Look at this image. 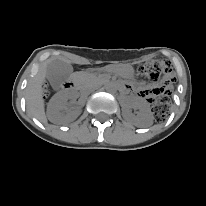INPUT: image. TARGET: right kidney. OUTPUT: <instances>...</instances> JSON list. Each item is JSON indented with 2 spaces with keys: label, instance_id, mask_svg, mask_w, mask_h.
<instances>
[{
  "label": "right kidney",
  "instance_id": "obj_1",
  "mask_svg": "<svg viewBox=\"0 0 206 206\" xmlns=\"http://www.w3.org/2000/svg\"><path fill=\"white\" fill-rule=\"evenodd\" d=\"M75 94L57 93L49 101L47 116L53 123H67L77 118L79 111L69 107L67 101L75 99Z\"/></svg>",
  "mask_w": 206,
  "mask_h": 206
}]
</instances>
